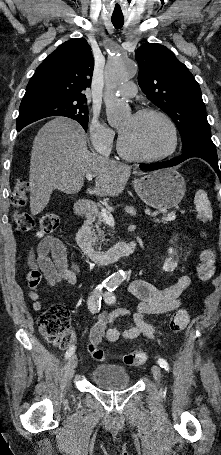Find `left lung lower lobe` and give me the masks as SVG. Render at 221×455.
<instances>
[{
  "mask_svg": "<svg viewBox=\"0 0 221 455\" xmlns=\"http://www.w3.org/2000/svg\"><path fill=\"white\" fill-rule=\"evenodd\" d=\"M191 157H199L207 161L216 171L219 179H221V173L218 166V157L214 144L196 143L190 146L188 149L184 150L181 156L164 162L142 164L140 165V168L143 170L152 171L161 168L172 167Z\"/></svg>",
  "mask_w": 221,
  "mask_h": 455,
  "instance_id": "0a47b994",
  "label": "left lung lower lobe"
}]
</instances>
